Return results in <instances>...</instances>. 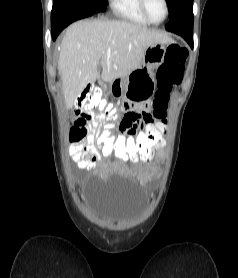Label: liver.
<instances>
[{
	"mask_svg": "<svg viewBox=\"0 0 238 278\" xmlns=\"http://www.w3.org/2000/svg\"><path fill=\"white\" fill-rule=\"evenodd\" d=\"M167 34L124 20H81L63 36L58 70L68 109L90 83L128 76L141 67L146 49L155 43H170Z\"/></svg>",
	"mask_w": 238,
	"mask_h": 278,
	"instance_id": "6515ba94",
	"label": "liver"
}]
</instances>
